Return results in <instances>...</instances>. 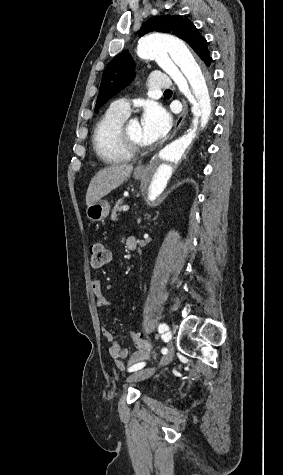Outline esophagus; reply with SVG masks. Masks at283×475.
Instances as JSON below:
<instances>
[{
  "instance_id": "1",
  "label": "esophagus",
  "mask_w": 283,
  "mask_h": 475,
  "mask_svg": "<svg viewBox=\"0 0 283 475\" xmlns=\"http://www.w3.org/2000/svg\"><path fill=\"white\" fill-rule=\"evenodd\" d=\"M182 105H183V110L182 112L178 115V118L176 120V123L174 125V130H173V133L171 135V138L176 134V132L179 130L180 126L182 125L186 115H187V112H188V105H187V102L182 99ZM145 169V166L144 165H140L138 167H136L135 171L136 172H142L144 171Z\"/></svg>"
}]
</instances>
